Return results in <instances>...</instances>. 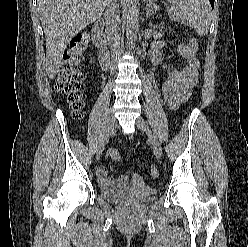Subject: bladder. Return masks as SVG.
Returning a JSON list of instances; mask_svg holds the SVG:
<instances>
[{"label": "bladder", "instance_id": "31cf9c89", "mask_svg": "<svg viewBox=\"0 0 248 247\" xmlns=\"http://www.w3.org/2000/svg\"><path fill=\"white\" fill-rule=\"evenodd\" d=\"M156 190L141 176H136L131 185L124 190L100 189V194L106 200L121 205H141L149 201Z\"/></svg>", "mask_w": 248, "mask_h": 247}]
</instances>
